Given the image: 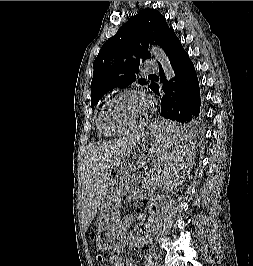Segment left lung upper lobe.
<instances>
[{"mask_svg":"<svg viewBox=\"0 0 253 266\" xmlns=\"http://www.w3.org/2000/svg\"><path fill=\"white\" fill-rule=\"evenodd\" d=\"M173 31L165 17L155 9H143L122 25L104 43L93 63L92 109L108 91L134 82L140 63L151 57L149 45L163 49ZM138 82L146 84L145 79ZM153 85L154 82L149 87L152 89Z\"/></svg>","mask_w":253,"mask_h":266,"instance_id":"obj_1","label":"left lung upper lobe"}]
</instances>
